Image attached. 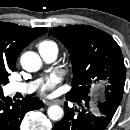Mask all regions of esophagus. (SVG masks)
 Instances as JSON below:
<instances>
[{"mask_svg":"<svg viewBox=\"0 0 130 130\" xmlns=\"http://www.w3.org/2000/svg\"><path fill=\"white\" fill-rule=\"evenodd\" d=\"M52 104H61L60 100H53V101H45V105H52Z\"/></svg>","mask_w":130,"mask_h":130,"instance_id":"obj_1","label":"esophagus"}]
</instances>
